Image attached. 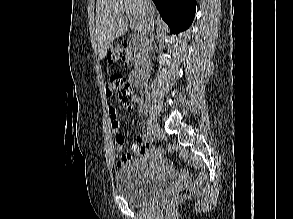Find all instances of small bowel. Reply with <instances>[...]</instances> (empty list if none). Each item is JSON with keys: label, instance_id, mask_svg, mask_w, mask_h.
<instances>
[{"label": "small bowel", "instance_id": "c3829d8e", "mask_svg": "<svg viewBox=\"0 0 293 219\" xmlns=\"http://www.w3.org/2000/svg\"><path fill=\"white\" fill-rule=\"evenodd\" d=\"M106 95L108 98H111L112 96V90L109 86L106 88ZM131 100L135 103L139 114H142L145 109V102L143 98L138 95H133ZM108 112H109V117L111 119L112 128L115 133L116 148L118 150H121L126 142V139L124 135H122L119 132L118 115L112 103H110L108 106ZM136 140H137V144L133 147V153H129V154H125L121 156L117 160L118 167H122L128 164H134L136 162V156L145 154L150 148V144L144 135L142 134L137 135Z\"/></svg>", "mask_w": 293, "mask_h": 219}]
</instances>
